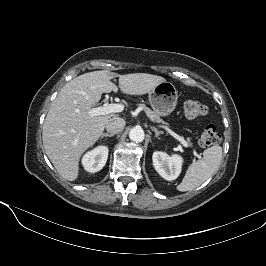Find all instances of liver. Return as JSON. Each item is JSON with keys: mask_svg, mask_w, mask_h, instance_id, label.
Returning <instances> with one entry per match:
<instances>
[{"mask_svg": "<svg viewBox=\"0 0 266 266\" xmlns=\"http://www.w3.org/2000/svg\"><path fill=\"white\" fill-rule=\"evenodd\" d=\"M119 76L122 93L143 95L166 81L163 77L133 73L118 75L101 70L82 74L69 81L51 104L43 125V146L46 155L68 181H75L79 174V160L103 134L106 123L115 115L88 114L103 93L117 92L111 79Z\"/></svg>", "mask_w": 266, "mask_h": 266, "instance_id": "obj_1", "label": "liver"}]
</instances>
